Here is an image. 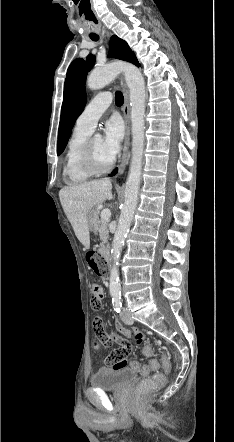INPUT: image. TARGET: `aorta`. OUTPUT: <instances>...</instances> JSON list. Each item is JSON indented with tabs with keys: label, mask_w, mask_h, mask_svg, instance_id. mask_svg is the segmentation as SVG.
<instances>
[{
	"label": "aorta",
	"mask_w": 234,
	"mask_h": 442,
	"mask_svg": "<svg viewBox=\"0 0 234 442\" xmlns=\"http://www.w3.org/2000/svg\"><path fill=\"white\" fill-rule=\"evenodd\" d=\"M120 72L124 73L130 91L132 157L129 174L125 185V200L112 243L113 264L110 271L109 290L113 295L120 294L119 259L137 206L143 164L145 141V81L141 71L126 62L108 64L96 68L87 77L86 85L91 90H98L110 83Z\"/></svg>",
	"instance_id": "aorta-1"
}]
</instances>
